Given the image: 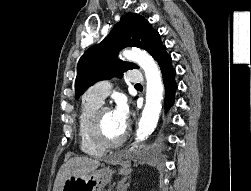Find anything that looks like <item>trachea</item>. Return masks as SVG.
Returning <instances> with one entry per match:
<instances>
[{"mask_svg": "<svg viewBox=\"0 0 251 191\" xmlns=\"http://www.w3.org/2000/svg\"><path fill=\"white\" fill-rule=\"evenodd\" d=\"M142 85L140 83H136L135 87H141Z\"/></svg>", "mask_w": 251, "mask_h": 191, "instance_id": "1", "label": "trachea"}]
</instances>
